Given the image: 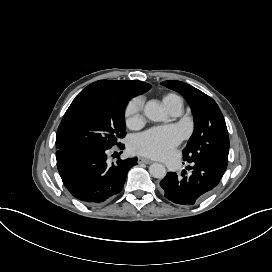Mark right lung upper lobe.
<instances>
[{"instance_id": "1", "label": "right lung upper lobe", "mask_w": 272, "mask_h": 272, "mask_svg": "<svg viewBox=\"0 0 272 272\" xmlns=\"http://www.w3.org/2000/svg\"><path fill=\"white\" fill-rule=\"evenodd\" d=\"M150 84L130 80H99L88 85L81 93L113 94L128 98L148 91Z\"/></svg>"}]
</instances>
